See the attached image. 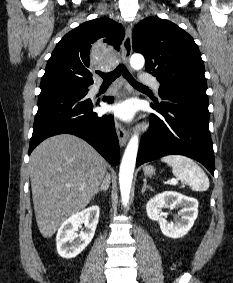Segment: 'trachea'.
I'll list each match as a JSON object with an SVG mask.
<instances>
[{
    "mask_svg": "<svg viewBox=\"0 0 233 283\" xmlns=\"http://www.w3.org/2000/svg\"><path fill=\"white\" fill-rule=\"evenodd\" d=\"M98 74L103 78V83L106 84L112 83L117 77L123 74V77L126 78L133 87L137 89H148L146 86L137 82L123 64L118 65V67L110 73L99 72Z\"/></svg>",
    "mask_w": 233,
    "mask_h": 283,
    "instance_id": "1",
    "label": "trachea"
}]
</instances>
